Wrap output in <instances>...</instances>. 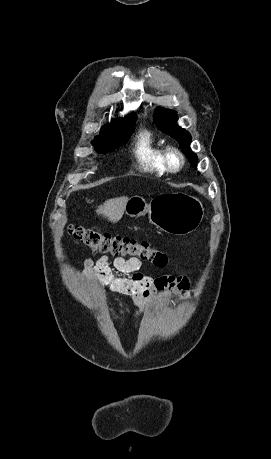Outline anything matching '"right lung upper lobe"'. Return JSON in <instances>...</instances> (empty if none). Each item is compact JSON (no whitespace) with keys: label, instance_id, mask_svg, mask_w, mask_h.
Returning <instances> with one entry per match:
<instances>
[{"label":"right lung upper lobe","instance_id":"obj_1","mask_svg":"<svg viewBox=\"0 0 271 459\" xmlns=\"http://www.w3.org/2000/svg\"><path fill=\"white\" fill-rule=\"evenodd\" d=\"M136 119H137V117H136L135 115H129V116H127V117L124 118V119H121V118H120V119H119V122L134 121V120H136ZM114 122H118V120H114Z\"/></svg>","mask_w":271,"mask_h":459}]
</instances>
